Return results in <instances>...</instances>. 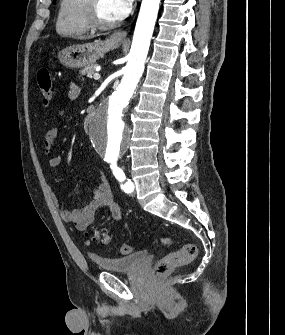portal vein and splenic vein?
I'll return each instance as SVG.
<instances>
[{
	"instance_id": "obj_1",
	"label": "portal vein and splenic vein",
	"mask_w": 285,
	"mask_h": 335,
	"mask_svg": "<svg viewBox=\"0 0 285 335\" xmlns=\"http://www.w3.org/2000/svg\"><path fill=\"white\" fill-rule=\"evenodd\" d=\"M93 78L94 80H100L101 76L100 74H94Z\"/></svg>"
}]
</instances>
